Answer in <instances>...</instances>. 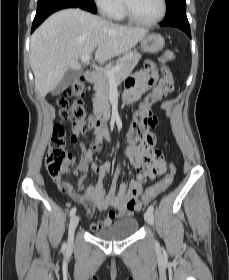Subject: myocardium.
<instances>
[{
    "instance_id": "1",
    "label": "myocardium",
    "mask_w": 229,
    "mask_h": 280,
    "mask_svg": "<svg viewBox=\"0 0 229 280\" xmlns=\"http://www.w3.org/2000/svg\"><path fill=\"white\" fill-rule=\"evenodd\" d=\"M161 2V10L158 16L151 20H141L135 17L130 9L128 0H122V10L124 16L133 24L140 25V26H152L159 23L166 15L167 11V2L166 0H160Z\"/></svg>"
}]
</instances>
